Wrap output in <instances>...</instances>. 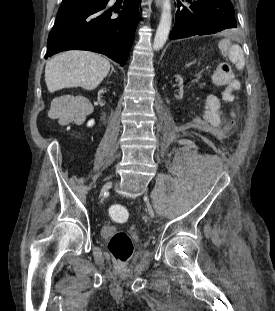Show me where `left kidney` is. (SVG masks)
<instances>
[{"label": "left kidney", "instance_id": "5707ae66", "mask_svg": "<svg viewBox=\"0 0 275 311\" xmlns=\"http://www.w3.org/2000/svg\"><path fill=\"white\" fill-rule=\"evenodd\" d=\"M177 81L179 82H172V89H180L178 95H176V99L181 100L183 98V79L181 76H177Z\"/></svg>", "mask_w": 275, "mask_h": 311}]
</instances>
